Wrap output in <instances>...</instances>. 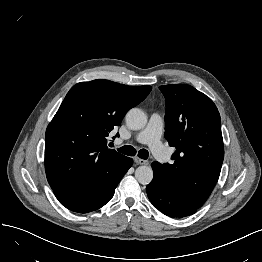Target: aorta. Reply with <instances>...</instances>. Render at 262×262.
Here are the masks:
<instances>
[{"mask_svg": "<svg viewBox=\"0 0 262 262\" xmlns=\"http://www.w3.org/2000/svg\"><path fill=\"white\" fill-rule=\"evenodd\" d=\"M126 123L131 129L140 130L146 126L147 116L141 109L132 108L126 114ZM135 178L140 184H149L153 179L152 168L139 166L135 171Z\"/></svg>", "mask_w": 262, "mask_h": 262, "instance_id": "1", "label": "aorta"}]
</instances>
